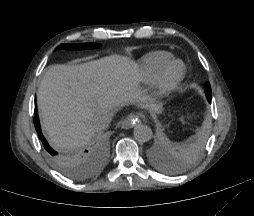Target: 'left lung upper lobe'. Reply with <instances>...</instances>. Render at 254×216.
I'll return each mask as SVG.
<instances>
[{"mask_svg": "<svg viewBox=\"0 0 254 216\" xmlns=\"http://www.w3.org/2000/svg\"><path fill=\"white\" fill-rule=\"evenodd\" d=\"M205 94L207 98H211V87L209 82L205 85Z\"/></svg>", "mask_w": 254, "mask_h": 216, "instance_id": "5c2ea615", "label": "left lung upper lobe"}]
</instances>
